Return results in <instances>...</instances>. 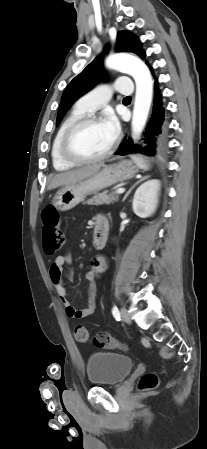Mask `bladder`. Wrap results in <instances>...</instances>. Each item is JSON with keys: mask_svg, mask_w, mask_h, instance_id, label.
Instances as JSON below:
<instances>
[{"mask_svg": "<svg viewBox=\"0 0 207 449\" xmlns=\"http://www.w3.org/2000/svg\"><path fill=\"white\" fill-rule=\"evenodd\" d=\"M132 358L114 352H94L86 361V373L90 384L115 386L122 383L132 372Z\"/></svg>", "mask_w": 207, "mask_h": 449, "instance_id": "bladder-1", "label": "bladder"}]
</instances>
